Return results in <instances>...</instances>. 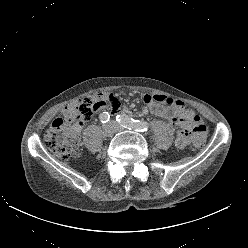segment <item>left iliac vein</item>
I'll list each match as a JSON object with an SVG mask.
<instances>
[{"label": "left iliac vein", "instance_id": "obj_1", "mask_svg": "<svg viewBox=\"0 0 248 248\" xmlns=\"http://www.w3.org/2000/svg\"><path fill=\"white\" fill-rule=\"evenodd\" d=\"M110 124L114 125L115 126V130L116 132H120V131H123V127H121L119 124H117L116 122L112 121L110 122Z\"/></svg>", "mask_w": 248, "mask_h": 248}]
</instances>
